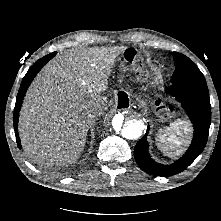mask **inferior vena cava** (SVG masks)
I'll use <instances>...</instances> for the list:
<instances>
[{
    "label": "inferior vena cava",
    "instance_id": "obj_1",
    "mask_svg": "<svg viewBox=\"0 0 221 221\" xmlns=\"http://www.w3.org/2000/svg\"><path fill=\"white\" fill-rule=\"evenodd\" d=\"M91 114H92V117H93V118H96V119H97V118H100V117H101V114H102V113H101V110H100V109H97V108H96V109H93V110H92V113H91Z\"/></svg>",
    "mask_w": 221,
    "mask_h": 221
}]
</instances>
